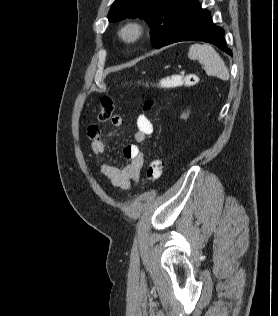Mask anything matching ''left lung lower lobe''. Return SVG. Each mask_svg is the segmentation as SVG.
<instances>
[{"instance_id": "obj_1", "label": "left lung lower lobe", "mask_w": 278, "mask_h": 316, "mask_svg": "<svg viewBox=\"0 0 278 316\" xmlns=\"http://www.w3.org/2000/svg\"><path fill=\"white\" fill-rule=\"evenodd\" d=\"M189 40H199L212 43L232 56L226 46L224 30L212 23L208 10L202 9L198 0H191L182 14L175 31L164 46Z\"/></svg>"}]
</instances>
